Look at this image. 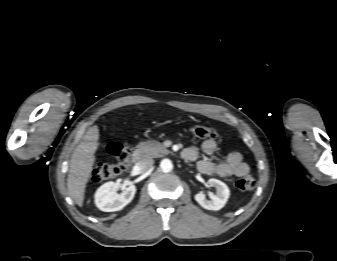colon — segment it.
<instances>
[{
    "instance_id": "5ec220e1",
    "label": "colon",
    "mask_w": 337,
    "mask_h": 261,
    "mask_svg": "<svg viewBox=\"0 0 337 261\" xmlns=\"http://www.w3.org/2000/svg\"><path fill=\"white\" fill-rule=\"evenodd\" d=\"M194 137L200 140H219V134L213 128L196 125L190 128ZM109 155L115 160L114 163H97L91 172L93 181L100 182L115 178L125 172L130 161V150L121 143H111L107 147ZM235 186L240 191H250L255 186V180L250 175H245L236 180Z\"/></svg>"
}]
</instances>
